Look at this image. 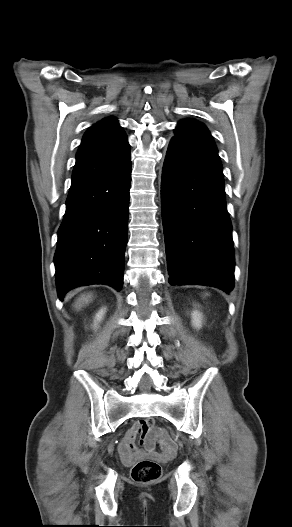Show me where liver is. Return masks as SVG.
Instances as JSON below:
<instances>
[{"mask_svg": "<svg viewBox=\"0 0 292 527\" xmlns=\"http://www.w3.org/2000/svg\"><path fill=\"white\" fill-rule=\"evenodd\" d=\"M92 297H93V295L91 293L81 295L76 300L74 307L76 309H81L82 306H84V305H86V304H88L89 302L92 301Z\"/></svg>", "mask_w": 292, "mask_h": 527, "instance_id": "1", "label": "liver"}]
</instances>
